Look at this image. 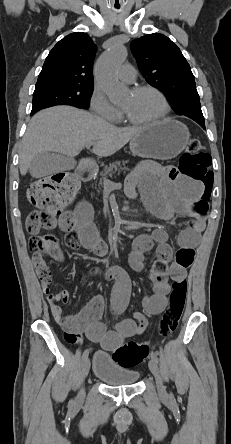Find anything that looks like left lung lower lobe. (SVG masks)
<instances>
[{
    "instance_id": "0a47b994",
    "label": "left lung lower lobe",
    "mask_w": 231,
    "mask_h": 444,
    "mask_svg": "<svg viewBox=\"0 0 231 444\" xmlns=\"http://www.w3.org/2000/svg\"><path fill=\"white\" fill-rule=\"evenodd\" d=\"M194 121H196L203 129H205L204 121H200V120H194Z\"/></svg>"
}]
</instances>
